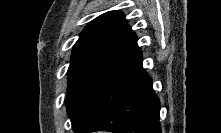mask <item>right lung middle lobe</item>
<instances>
[{
	"label": "right lung middle lobe",
	"mask_w": 221,
	"mask_h": 133,
	"mask_svg": "<svg viewBox=\"0 0 221 133\" xmlns=\"http://www.w3.org/2000/svg\"><path fill=\"white\" fill-rule=\"evenodd\" d=\"M101 74V72L75 73L68 71L67 112L72 124L90 87Z\"/></svg>",
	"instance_id": "1"
}]
</instances>
